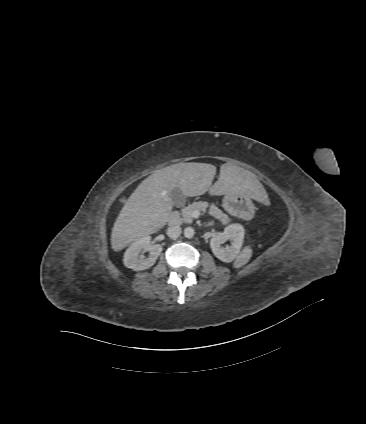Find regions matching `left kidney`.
Wrapping results in <instances>:
<instances>
[{
	"label": "left kidney",
	"mask_w": 366,
	"mask_h": 424,
	"mask_svg": "<svg viewBox=\"0 0 366 424\" xmlns=\"http://www.w3.org/2000/svg\"><path fill=\"white\" fill-rule=\"evenodd\" d=\"M244 228L241 225H229L222 233L214 235L210 240L213 254L221 261L230 263L240 253L244 241ZM231 241L230 246L222 247V244Z\"/></svg>",
	"instance_id": "5707ae66"
}]
</instances>
